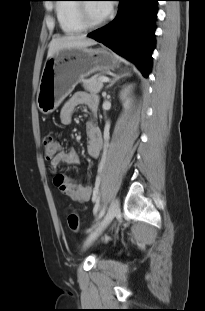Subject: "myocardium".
Instances as JSON below:
<instances>
[{
  "mask_svg": "<svg viewBox=\"0 0 205 311\" xmlns=\"http://www.w3.org/2000/svg\"><path fill=\"white\" fill-rule=\"evenodd\" d=\"M77 15L81 25L84 29L93 30L102 27L108 20V17L105 16L102 20L98 22H92L89 19L87 12V3L81 2L77 4Z\"/></svg>",
  "mask_w": 205,
  "mask_h": 311,
  "instance_id": "f54148a6",
  "label": "myocardium"
}]
</instances>
